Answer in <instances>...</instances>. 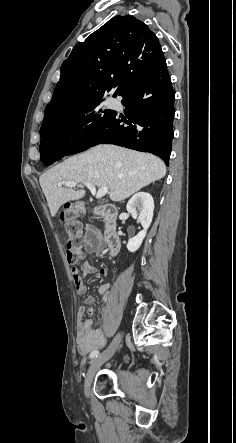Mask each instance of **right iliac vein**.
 <instances>
[{"label":"right iliac vein","mask_w":236,"mask_h":443,"mask_svg":"<svg viewBox=\"0 0 236 443\" xmlns=\"http://www.w3.org/2000/svg\"><path fill=\"white\" fill-rule=\"evenodd\" d=\"M120 341H121V333L118 332L114 337V339L112 340L111 344L108 346V348L105 349L101 354H99L96 358L92 360L84 381L85 394L90 393L91 384L96 372L106 361H108L113 356L114 352L116 351V349L120 344Z\"/></svg>","instance_id":"obj_1"}]
</instances>
